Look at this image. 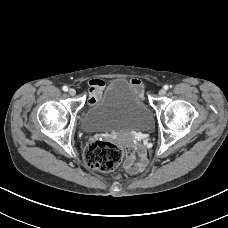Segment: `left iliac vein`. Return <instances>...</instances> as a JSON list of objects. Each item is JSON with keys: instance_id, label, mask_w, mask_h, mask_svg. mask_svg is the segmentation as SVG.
<instances>
[{"instance_id": "1", "label": "left iliac vein", "mask_w": 228, "mask_h": 228, "mask_svg": "<svg viewBox=\"0 0 228 228\" xmlns=\"http://www.w3.org/2000/svg\"><path fill=\"white\" fill-rule=\"evenodd\" d=\"M158 94L160 96H164L166 94V90L165 89H160L159 92H158Z\"/></svg>"}]
</instances>
